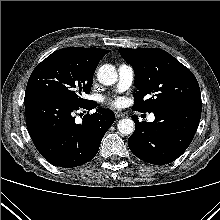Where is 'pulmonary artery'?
<instances>
[{
    "mask_svg": "<svg viewBox=\"0 0 220 220\" xmlns=\"http://www.w3.org/2000/svg\"><path fill=\"white\" fill-rule=\"evenodd\" d=\"M134 80V70L128 64H121L118 67V82L117 89L122 92L127 90L133 83ZM155 120V116L153 114L148 116V121L153 122Z\"/></svg>",
    "mask_w": 220,
    "mask_h": 220,
    "instance_id": "obj_1",
    "label": "pulmonary artery"
}]
</instances>
